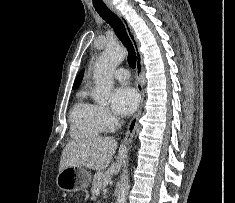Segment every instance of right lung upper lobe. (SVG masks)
I'll return each instance as SVG.
<instances>
[{
	"instance_id": "obj_1",
	"label": "right lung upper lobe",
	"mask_w": 235,
	"mask_h": 203,
	"mask_svg": "<svg viewBox=\"0 0 235 203\" xmlns=\"http://www.w3.org/2000/svg\"><path fill=\"white\" fill-rule=\"evenodd\" d=\"M84 71H81L80 74L76 77L73 88H76L82 81Z\"/></svg>"
}]
</instances>
